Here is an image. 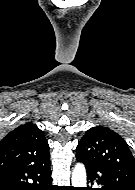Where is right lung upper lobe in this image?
<instances>
[{"label":"right lung upper lobe","instance_id":"1","mask_svg":"<svg viewBox=\"0 0 135 190\" xmlns=\"http://www.w3.org/2000/svg\"><path fill=\"white\" fill-rule=\"evenodd\" d=\"M49 161V145L33 123L20 125L0 142V168L15 165H42Z\"/></svg>","mask_w":135,"mask_h":190}]
</instances>
